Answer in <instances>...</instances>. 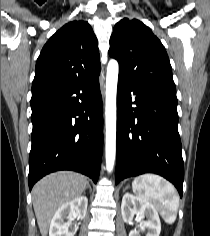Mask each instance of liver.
Returning a JSON list of instances; mask_svg holds the SVG:
<instances>
[{
	"label": "liver",
	"mask_w": 210,
	"mask_h": 236,
	"mask_svg": "<svg viewBox=\"0 0 210 236\" xmlns=\"http://www.w3.org/2000/svg\"><path fill=\"white\" fill-rule=\"evenodd\" d=\"M84 175L60 171L47 175L32 189V202L41 236H47L54 213L63 204L80 196L87 187Z\"/></svg>",
	"instance_id": "obj_1"
}]
</instances>
